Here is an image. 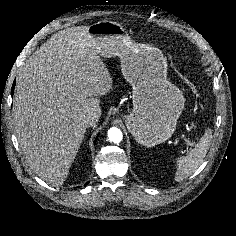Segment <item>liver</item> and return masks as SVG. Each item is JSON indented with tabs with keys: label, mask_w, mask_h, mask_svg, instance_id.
Returning a JSON list of instances; mask_svg holds the SVG:
<instances>
[{
	"label": "liver",
	"mask_w": 236,
	"mask_h": 236,
	"mask_svg": "<svg viewBox=\"0 0 236 236\" xmlns=\"http://www.w3.org/2000/svg\"><path fill=\"white\" fill-rule=\"evenodd\" d=\"M111 89L88 26L59 31L23 63L13 122L19 146L41 179L63 184L86 132L83 115H101L99 97Z\"/></svg>",
	"instance_id": "obj_1"
}]
</instances>
